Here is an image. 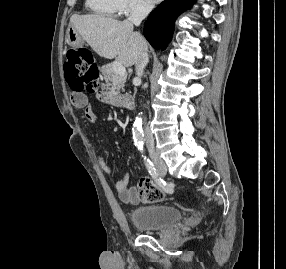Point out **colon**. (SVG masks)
<instances>
[{
	"mask_svg": "<svg viewBox=\"0 0 286 269\" xmlns=\"http://www.w3.org/2000/svg\"><path fill=\"white\" fill-rule=\"evenodd\" d=\"M64 70L66 79L74 91L93 92L96 89L98 69L88 49H69ZM138 191L140 197L148 202H158L164 198L163 191L145 176H141L138 180Z\"/></svg>",
	"mask_w": 286,
	"mask_h": 269,
	"instance_id": "1",
	"label": "colon"
}]
</instances>
